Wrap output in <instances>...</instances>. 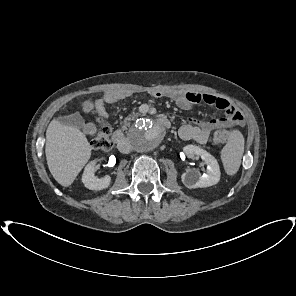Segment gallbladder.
<instances>
[{"label": "gallbladder", "mask_w": 296, "mask_h": 296, "mask_svg": "<svg viewBox=\"0 0 296 296\" xmlns=\"http://www.w3.org/2000/svg\"><path fill=\"white\" fill-rule=\"evenodd\" d=\"M58 122H60L63 125L66 126H72L79 128L84 124L83 118L79 113H74L71 115H66V116H60L58 119Z\"/></svg>", "instance_id": "1"}]
</instances>
